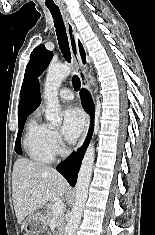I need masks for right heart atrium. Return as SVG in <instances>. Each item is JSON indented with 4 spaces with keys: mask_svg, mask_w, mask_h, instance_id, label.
Masks as SVG:
<instances>
[{
    "mask_svg": "<svg viewBox=\"0 0 155 235\" xmlns=\"http://www.w3.org/2000/svg\"><path fill=\"white\" fill-rule=\"evenodd\" d=\"M47 141L54 153H58L64 148L59 133L55 129L49 127H47Z\"/></svg>",
    "mask_w": 155,
    "mask_h": 235,
    "instance_id": "1",
    "label": "right heart atrium"
}]
</instances>
